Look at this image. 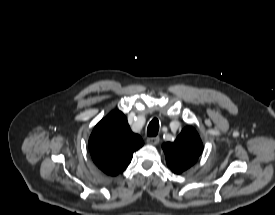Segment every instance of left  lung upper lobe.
Masks as SVG:
<instances>
[{
    "instance_id": "obj_1",
    "label": "left lung upper lobe",
    "mask_w": 275,
    "mask_h": 215,
    "mask_svg": "<svg viewBox=\"0 0 275 215\" xmlns=\"http://www.w3.org/2000/svg\"><path fill=\"white\" fill-rule=\"evenodd\" d=\"M167 165L175 174L190 168L203 150L201 139L193 127H186L174 142L162 145Z\"/></svg>"
}]
</instances>
